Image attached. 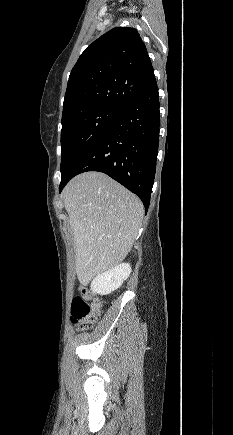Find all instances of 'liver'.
<instances>
[{
  "mask_svg": "<svg viewBox=\"0 0 233 435\" xmlns=\"http://www.w3.org/2000/svg\"><path fill=\"white\" fill-rule=\"evenodd\" d=\"M63 200L74 235L77 277L85 284L125 259L144 207L135 194L101 172L74 177L63 190Z\"/></svg>",
  "mask_w": 233,
  "mask_h": 435,
  "instance_id": "obj_1",
  "label": "liver"
}]
</instances>
